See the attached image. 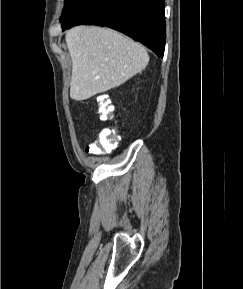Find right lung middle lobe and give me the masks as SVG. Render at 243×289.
<instances>
[{"label": "right lung middle lobe", "mask_w": 243, "mask_h": 289, "mask_svg": "<svg viewBox=\"0 0 243 289\" xmlns=\"http://www.w3.org/2000/svg\"><path fill=\"white\" fill-rule=\"evenodd\" d=\"M81 1L82 0H65V5L60 20L64 21L69 18Z\"/></svg>", "instance_id": "obj_1"}]
</instances>
